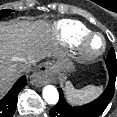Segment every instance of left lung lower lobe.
I'll list each match as a JSON object with an SVG mask.
<instances>
[{
  "instance_id": "obj_1",
  "label": "left lung lower lobe",
  "mask_w": 117,
  "mask_h": 117,
  "mask_svg": "<svg viewBox=\"0 0 117 117\" xmlns=\"http://www.w3.org/2000/svg\"><path fill=\"white\" fill-rule=\"evenodd\" d=\"M107 69L108 85L96 100L82 106H71L66 102L63 91L59 88L60 98L58 103L50 109V117H99L111 101L115 90L117 67L111 65L107 66Z\"/></svg>"
}]
</instances>
